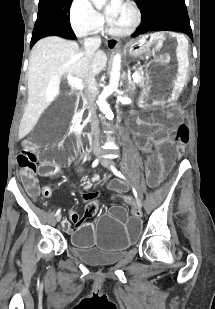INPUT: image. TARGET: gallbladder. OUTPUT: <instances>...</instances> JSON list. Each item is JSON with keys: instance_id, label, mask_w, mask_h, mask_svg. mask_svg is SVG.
Segmentation results:
<instances>
[{"instance_id": "gallbladder-1", "label": "gallbladder", "mask_w": 215, "mask_h": 309, "mask_svg": "<svg viewBox=\"0 0 215 309\" xmlns=\"http://www.w3.org/2000/svg\"><path fill=\"white\" fill-rule=\"evenodd\" d=\"M53 102L48 103V109L42 113L33 129L35 144H39V148H51V144H57L60 136H65L66 125H69L75 112L76 94L64 92Z\"/></svg>"}]
</instances>
